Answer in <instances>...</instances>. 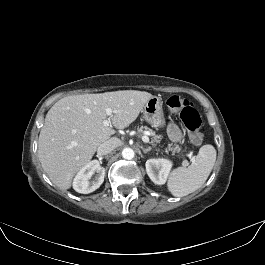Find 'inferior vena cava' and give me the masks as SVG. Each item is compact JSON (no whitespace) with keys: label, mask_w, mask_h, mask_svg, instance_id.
<instances>
[{"label":"inferior vena cava","mask_w":265,"mask_h":265,"mask_svg":"<svg viewBox=\"0 0 265 265\" xmlns=\"http://www.w3.org/2000/svg\"><path fill=\"white\" fill-rule=\"evenodd\" d=\"M119 144H120V140L117 138H111L105 141L98 147V155L102 156V155H106L110 153L112 150L118 147Z\"/></svg>","instance_id":"1"}]
</instances>
